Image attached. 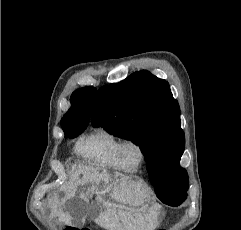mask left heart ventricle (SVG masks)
<instances>
[{
  "mask_svg": "<svg viewBox=\"0 0 241 230\" xmlns=\"http://www.w3.org/2000/svg\"><path fill=\"white\" fill-rule=\"evenodd\" d=\"M125 157L132 167H136L140 161V152L135 146H130L126 150Z\"/></svg>",
  "mask_w": 241,
  "mask_h": 230,
  "instance_id": "left-heart-ventricle-1",
  "label": "left heart ventricle"
}]
</instances>
